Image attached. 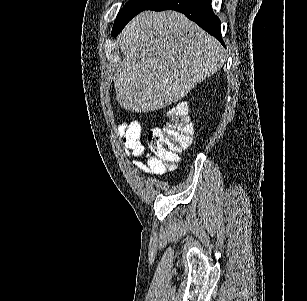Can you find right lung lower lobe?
Returning a JSON list of instances; mask_svg holds the SVG:
<instances>
[{"mask_svg":"<svg viewBox=\"0 0 307 301\" xmlns=\"http://www.w3.org/2000/svg\"><path fill=\"white\" fill-rule=\"evenodd\" d=\"M146 10L181 12L224 45L220 20L212 11L211 0H159Z\"/></svg>","mask_w":307,"mask_h":301,"instance_id":"1","label":"right lung lower lobe"}]
</instances>
